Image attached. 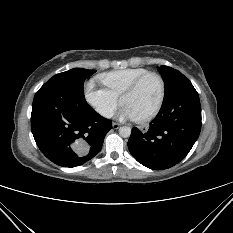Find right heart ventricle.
Here are the masks:
<instances>
[{
	"mask_svg": "<svg viewBox=\"0 0 233 233\" xmlns=\"http://www.w3.org/2000/svg\"><path fill=\"white\" fill-rule=\"evenodd\" d=\"M147 72L149 70L145 68H126L102 73L98 79L110 92L119 97L129 85Z\"/></svg>",
	"mask_w": 233,
	"mask_h": 233,
	"instance_id": "e07e8e85",
	"label": "right heart ventricle"
}]
</instances>
